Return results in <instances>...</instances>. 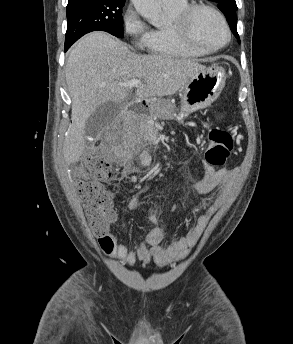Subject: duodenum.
Returning <instances> with one entry per match:
<instances>
[{
    "label": "duodenum",
    "mask_w": 293,
    "mask_h": 344,
    "mask_svg": "<svg viewBox=\"0 0 293 344\" xmlns=\"http://www.w3.org/2000/svg\"><path fill=\"white\" fill-rule=\"evenodd\" d=\"M133 110V108H131V107H129L126 111H125V113H124V115L121 117V119H120V124L121 125H123V124H125L126 122H127V120H128V118H129V114H130V112Z\"/></svg>",
    "instance_id": "obj_1"
}]
</instances>
